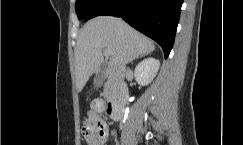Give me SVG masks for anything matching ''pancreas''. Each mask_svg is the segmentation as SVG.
Wrapping results in <instances>:
<instances>
[{
  "instance_id": "obj_1",
  "label": "pancreas",
  "mask_w": 243,
  "mask_h": 145,
  "mask_svg": "<svg viewBox=\"0 0 243 145\" xmlns=\"http://www.w3.org/2000/svg\"><path fill=\"white\" fill-rule=\"evenodd\" d=\"M114 88H115L114 83L112 79L109 78L104 89L105 96H107L110 93V91L114 90Z\"/></svg>"
}]
</instances>
